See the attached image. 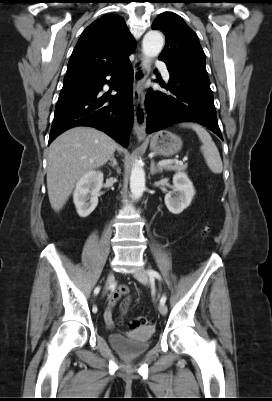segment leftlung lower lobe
Here are the masks:
<instances>
[{"label":"left lung lower lobe","instance_id":"1","mask_svg":"<svg viewBox=\"0 0 272 401\" xmlns=\"http://www.w3.org/2000/svg\"><path fill=\"white\" fill-rule=\"evenodd\" d=\"M170 80L164 86L170 93L154 91L146 95L147 133H153L180 122L199 123L222 140L218 126L210 81L167 66Z\"/></svg>","mask_w":272,"mask_h":401}]
</instances>
